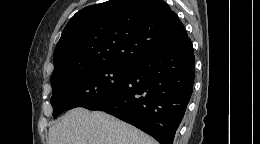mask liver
Instances as JSON below:
<instances>
[{"instance_id": "liver-1", "label": "liver", "mask_w": 260, "mask_h": 144, "mask_svg": "<svg viewBox=\"0 0 260 144\" xmlns=\"http://www.w3.org/2000/svg\"><path fill=\"white\" fill-rule=\"evenodd\" d=\"M49 144H157L139 129L104 112L68 111L50 127Z\"/></svg>"}]
</instances>
